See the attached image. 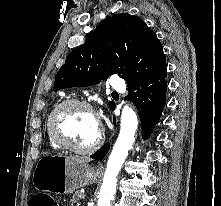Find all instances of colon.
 Instances as JSON below:
<instances>
[{"instance_id":"1","label":"colon","mask_w":221,"mask_h":206,"mask_svg":"<svg viewBox=\"0 0 221 206\" xmlns=\"http://www.w3.org/2000/svg\"><path fill=\"white\" fill-rule=\"evenodd\" d=\"M29 206H58V204L50 196L38 193L31 196Z\"/></svg>"}]
</instances>
